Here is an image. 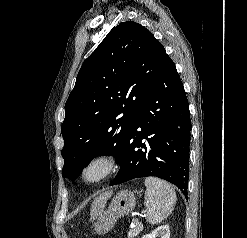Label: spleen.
I'll list each match as a JSON object with an SVG mask.
<instances>
[{
	"instance_id": "obj_1",
	"label": "spleen",
	"mask_w": 247,
	"mask_h": 238,
	"mask_svg": "<svg viewBox=\"0 0 247 238\" xmlns=\"http://www.w3.org/2000/svg\"><path fill=\"white\" fill-rule=\"evenodd\" d=\"M144 184L146 186L147 222L155 225L163 221L173 211L176 193L169 183L156 177H147Z\"/></svg>"
}]
</instances>
